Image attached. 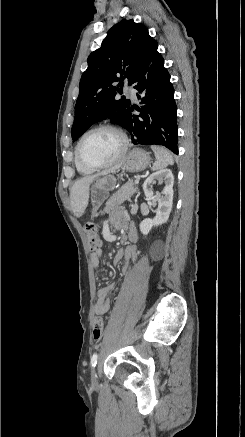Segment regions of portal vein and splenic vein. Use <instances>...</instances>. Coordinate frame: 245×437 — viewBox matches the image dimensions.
Wrapping results in <instances>:
<instances>
[{
    "label": "portal vein and splenic vein",
    "mask_w": 245,
    "mask_h": 437,
    "mask_svg": "<svg viewBox=\"0 0 245 437\" xmlns=\"http://www.w3.org/2000/svg\"><path fill=\"white\" fill-rule=\"evenodd\" d=\"M138 183H139V178L136 177V179H135V184H138Z\"/></svg>",
    "instance_id": "portal-vein-and-splenic-vein-1"
}]
</instances>
